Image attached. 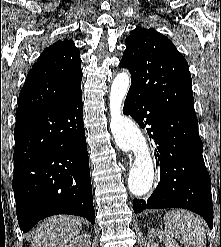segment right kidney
Listing matches in <instances>:
<instances>
[{
	"instance_id": "right-kidney-1",
	"label": "right kidney",
	"mask_w": 221,
	"mask_h": 247,
	"mask_svg": "<svg viewBox=\"0 0 221 247\" xmlns=\"http://www.w3.org/2000/svg\"><path fill=\"white\" fill-rule=\"evenodd\" d=\"M90 245H91L90 235L83 234L73 238L70 241L69 245H66L65 247H91Z\"/></svg>"
}]
</instances>
